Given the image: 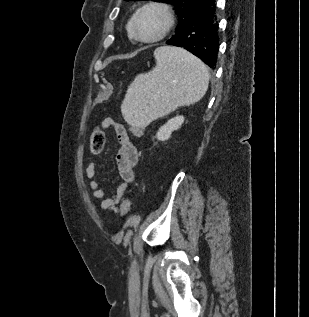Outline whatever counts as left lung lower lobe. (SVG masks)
Instances as JSON below:
<instances>
[{
    "label": "left lung lower lobe",
    "mask_w": 309,
    "mask_h": 317,
    "mask_svg": "<svg viewBox=\"0 0 309 317\" xmlns=\"http://www.w3.org/2000/svg\"><path fill=\"white\" fill-rule=\"evenodd\" d=\"M216 0H208L189 17L186 26L166 44L183 47L211 68L219 51V21Z\"/></svg>",
    "instance_id": "obj_1"
}]
</instances>
